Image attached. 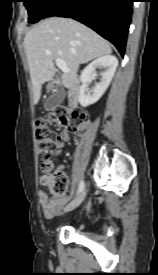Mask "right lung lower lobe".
Returning <instances> with one entry per match:
<instances>
[{
	"label": "right lung lower lobe",
	"mask_w": 158,
	"mask_h": 275,
	"mask_svg": "<svg viewBox=\"0 0 158 275\" xmlns=\"http://www.w3.org/2000/svg\"><path fill=\"white\" fill-rule=\"evenodd\" d=\"M134 0H58L43 18H73L112 42L124 54Z\"/></svg>",
	"instance_id": "98d812e1"
}]
</instances>
